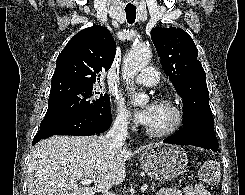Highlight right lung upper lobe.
Instances as JSON below:
<instances>
[{"mask_svg": "<svg viewBox=\"0 0 245 195\" xmlns=\"http://www.w3.org/2000/svg\"><path fill=\"white\" fill-rule=\"evenodd\" d=\"M116 54V42L100 25L78 32L57 58L51 92L71 87L93 86L99 73L108 71Z\"/></svg>", "mask_w": 245, "mask_h": 195, "instance_id": "cb5924a9", "label": "right lung upper lobe"}]
</instances>
